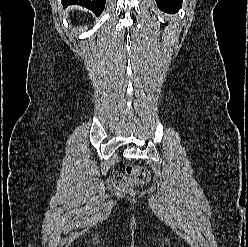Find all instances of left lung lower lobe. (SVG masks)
Here are the masks:
<instances>
[{
  "label": "left lung lower lobe",
  "mask_w": 248,
  "mask_h": 247,
  "mask_svg": "<svg viewBox=\"0 0 248 247\" xmlns=\"http://www.w3.org/2000/svg\"><path fill=\"white\" fill-rule=\"evenodd\" d=\"M159 8L166 12H176L181 8L182 0H156Z\"/></svg>",
  "instance_id": "1"
}]
</instances>
